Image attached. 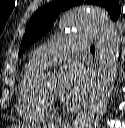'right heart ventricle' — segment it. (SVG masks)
I'll return each instance as SVG.
<instances>
[{"mask_svg": "<svg viewBox=\"0 0 125 128\" xmlns=\"http://www.w3.org/2000/svg\"><path fill=\"white\" fill-rule=\"evenodd\" d=\"M43 68L29 61L23 68L17 97L20 116L31 122L45 123L53 118V110L46 104L37 79Z\"/></svg>", "mask_w": 125, "mask_h": 128, "instance_id": "right-heart-ventricle-1", "label": "right heart ventricle"}]
</instances>
